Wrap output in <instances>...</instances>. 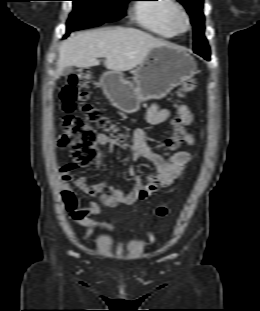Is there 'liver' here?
Listing matches in <instances>:
<instances>
[{"mask_svg": "<svg viewBox=\"0 0 260 311\" xmlns=\"http://www.w3.org/2000/svg\"><path fill=\"white\" fill-rule=\"evenodd\" d=\"M166 41L133 28H110L80 32L64 41L59 48L57 76L66 67L98 66V58H106L109 70L122 72L140 65L148 53Z\"/></svg>", "mask_w": 260, "mask_h": 311, "instance_id": "1", "label": "liver"}]
</instances>
